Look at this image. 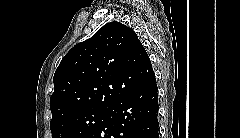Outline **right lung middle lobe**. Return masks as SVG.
Segmentation results:
<instances>
[{
    "label": "right lung middle lobe",
    "mask_w": 240,
    "mask_h": 138,
    "mask_svg": "<svg viewBox=\"0 0 240 138\" xmlns=\"http://www.w3.org/2000/svg\"><path fill=\"white\" fill-rule=\"evenodd\" d=\"M108 108H91L50 123L52 138H91Z\"/></svg>",
    "instance_id": "dd1d6c3e"
}]
</instances>
